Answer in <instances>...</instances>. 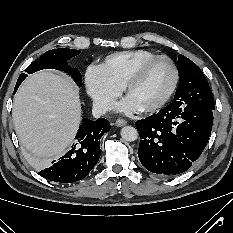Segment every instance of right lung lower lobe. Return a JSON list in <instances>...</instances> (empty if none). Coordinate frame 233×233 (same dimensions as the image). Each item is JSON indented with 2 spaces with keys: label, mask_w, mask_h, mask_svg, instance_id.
<instances>
[{
  "label": "right lung lower lobe",
  "mask_w": 233,
  "mask_h": 233,
  "mask_svg": "<svg viewBox=\"0 0 233 233\" xmlns=\"http://www.w3.org/2000/svg\"><path fill=\"white\" fill-rule=\"evenodd\" d=\"M22 81L17 80L14 92L17 91ZM110 128V123L105 118L96 121L84 118L72 148L39 174L48 180L59 183H72L83 179L98 162L100 139Z\"/></svg>",
  "instance_id": "obj_1"
}]
</instances>
